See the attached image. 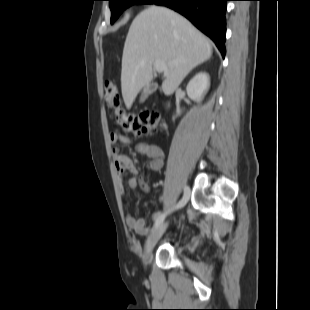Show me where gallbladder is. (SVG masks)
Segmentation results:
<instances>
[{"mask_svg":"<svg viewBox=\"0 0 310 310\" xmlns=\"http://www.w3.org/2000/svg\"><path fill=\"white\" fill-rule=\"evenodd\" d=\"M158 87V84L155 82L150 83L148 86L145 87L142 97H141V102H144L145 99L148 97V95L152 94Z\"/></svg>","mask_w":310,"mask_h":310,"instance_id":"obj_1","label":"gallbladder"}]
</instances>
